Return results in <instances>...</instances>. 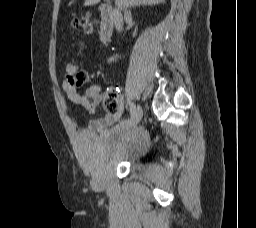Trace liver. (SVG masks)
I'll return each instance as SVG.
<instances>
[{
    "mask_svg": "<svg viewBox=\"0 0 256 228\" xmlns=\"http://www.w3.org/2000/svg\"><path fill=\"white\" fill-rule=\"evenodd\" d=\"M100 0H85L84 5H94L97 4ZM165 0H116L115 4L118 8L122 7H135L140 5H156L164 2Z\"/></svg>",
    "mask_w": 256,
    "mask_h": 228,
    "instance_id": "6515ba94",
    "label": "liver"
}]
</instances>
